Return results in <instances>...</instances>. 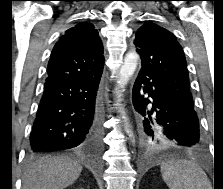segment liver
Instances as JSON below:
<instances>
[{"label":"liver","instance_id":"6515ba94","mask_svg":"<svg viewBox=\"0 0 223 189\" xmlns=\"http://www.w3.org/2000/svg\"><path fill=\"white\" fill-rule=\"evenodd\" d=\"M82 166L68 157L40 159L24 173L22 189H64L79 177Z\"/></svg>","mask_w":223,"mask_h":189}]
</instances>
